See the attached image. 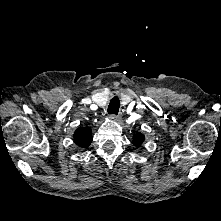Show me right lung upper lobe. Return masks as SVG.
I'll return each instance as SVG.
<instances>
[{
	"label": "right lung upper lobe",
	"mask_w": 221,
	"mask_h": 221,
	"mask_svg": "<svg viewBox=\"0 0 221 221\" xmlns=\"http://www.w3.org/2000/svg\"><path fill=\"white\" fill-rule=\"evenodd\" d=\"M92 142V132L89 127H79L74 132V143L80 148H88Z\"/></svg>",
	"instance_id": "right-lung-upper-lobe-1"
}]
</instances>
